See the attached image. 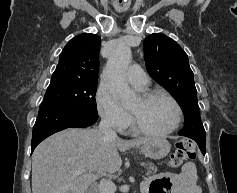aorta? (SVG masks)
Instances as JSON below:
<instances>
[{"label":"aorta","mask_w":237,"mask_h":193,"mask_svg":"<svg viewBox=\"0 0 237 193\" xmlns=\"http://www.w3.org/2000/svg\"><path fill=\"white\" fill-rule=\"evenodd\" d=\"M130 62V48L126 45H119L110 55L105 68V74L110 82L113 93L124 104L131 102L135 97L126 79V70Z\"/></svg>","instance_id":"762f6f07"}]
</instances>
